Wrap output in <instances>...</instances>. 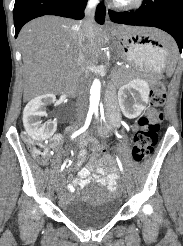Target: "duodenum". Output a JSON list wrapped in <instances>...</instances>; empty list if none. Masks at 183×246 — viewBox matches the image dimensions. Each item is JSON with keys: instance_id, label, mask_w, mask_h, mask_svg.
<instances>
[{"instance_id": "obj_1", "label": "duodenum", "mask_w": 183, "mask_h": 246, "mask_svg": "<svg viewBox=\"0 0 183 246\" xmlns=\"http://www.w3.org/2000/svg\"><path fill=\"white\" fill-rule=\"evenodd\" d=\"M108 97L113 98V91L111 88L108 89ZM99 140L92 139L91 136H80L79 144H90V147L93 148V151H100V146H98ZM84 146V145H83Z\"/></svg>"}]
</instances>
